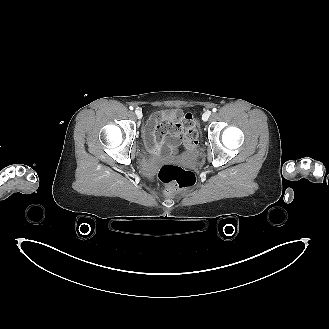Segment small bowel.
<instances>
[{
  "label": "small bowel",
  "mask_w": 329,
  "mask_h": 329,
  "mask_svg": "<svg viewBox=\"0 0 329 329\" xmlns=\"http://www.w3.org/2000/svg\"><path fill=\"white\" fill-rule=\"evenodd\" d=\"M183 113L178 109L155 112L144 126V140L151 153L174 157L185 142Z\"/></svg>",
  "instance_id": "small-bowel-1"
}]
</instances>
